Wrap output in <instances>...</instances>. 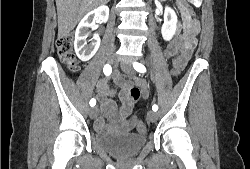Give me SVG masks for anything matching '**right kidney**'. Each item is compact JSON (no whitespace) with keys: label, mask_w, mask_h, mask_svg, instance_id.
<instances>
[{"label":"right kidney","mask_w":250,"mask_h":169,"mask_svg":"<svg viewBox=\"0 0 250 169\" xmlns=\"http://www.w3.org/2000/svg\"><path fill=\"white\" fill-rule=\"evenodd\" d=\"M108 16L109 8L106 4H102V6H97L94 10L87 12L84 18L80 20L76 28L74 40L75 52L80 60L92 58L100 46L101 38L99 34H93L91 44H87L88 28H95V22H106Z\"/></svg>","instance_id":"right-kidney-1"}]
</instances>
